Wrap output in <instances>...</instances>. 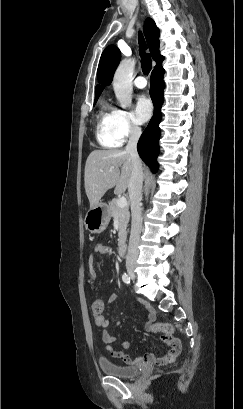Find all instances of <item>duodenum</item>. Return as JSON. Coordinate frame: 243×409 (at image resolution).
I'll list each match as a JSON object with an SVG mask.
<instances>
[{
    "instance_id": "410a0bca",
    "label": "duodenum",
    "mask_w": 243,
    "mask_h": 409,
    "mask_svg": "<svg viewBox=\"0 0 243 409\" xmlns=\"http://www.w3.org/2000/svg\"><path fill=\"white\" fill-rule=\"evenodd\" d=\"M118 253L121 257H124L127 253V246L124 243H121L118 247Z\"/></svg>"
}]
</instances>
